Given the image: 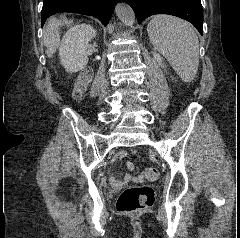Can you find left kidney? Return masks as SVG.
Returning <instances> with one entry per match:
<instances>
[{"label":"left kidney","mask_w":240,"mask_h":238,"mask_svg":"<svg viewBox=\"0 0 240 238\" xmlns=\"http://www.w3.org/2000/svg\"><path fill=\"white\" fill-rule=\"evenodd\" d=\"M153 56H154V59H155L159 64L162 63V57H161L159 54L154 53Z\"/></svg>","instance_id":"left-kidney-1"}]
</instances>
